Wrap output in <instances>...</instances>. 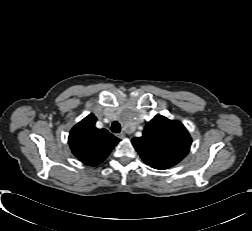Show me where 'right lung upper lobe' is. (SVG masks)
<instances>
[{"label": "right lung upper lobe", "mask_w": 252, "mask_h": 231, "mask_svg": "<svg viewBox=\"0 0 252 231\" xmlns=\"http://www.w3.org/2000/svg\"><path fill=\"white\" fill-rule=\"evenodd\" d=\"M95 122L96 117L88 115L72 128L68 138L72 153L90 166L103 162L120 141L106 129L96 128Z\"/></svg>", "instance_id": "right-lung-upper-lobe-1"}]
</instances>
